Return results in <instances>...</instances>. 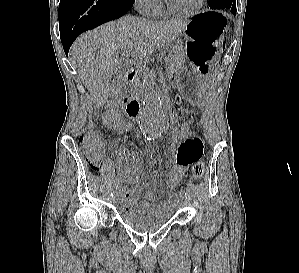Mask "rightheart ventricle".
<instances>
[{
	"label": "right heart ventricle",
	"mask_w": 299,
	"mask_h": 273,
	"mask_svg": "<svg viewBox=\"0 0 299 273\" xmlns=\"http://www.w3.org/2000/svg\"><path fill=\"white\" fill-rule=\"evenodd\" d=\"M164 9L159 5L157 8H155L151 13L153 15H162L164 13Z\"/></svg>",
	"instance_id": "right-heart-ventricle-1"
}]
</instances>
